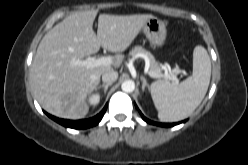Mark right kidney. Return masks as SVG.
<instances>
[{
    "mask_svg": "<svg viewBox=\"0 0 248 165\" xmlns=\"http://www.w3.org/2000/svg\"><path fill=\"white\" fill-rule=\"evenodd\" d=\"M100 101V96L98 94H94L89 98V102L91 105L96 106Z\"/></svg>",
    "mask_w": 248,
    "mask_h": 165,
    "instance_id": "obj_1",
    "label": "right kidney"
}]
</instances>
